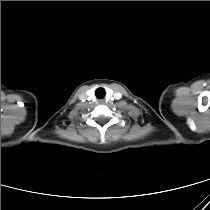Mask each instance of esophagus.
Wrapping results in <instances>:
<instances>
[{
    "label": "esophagus",
    "instance_id": "obj_1",
    "mask_svg": "<svg viewBox=\"0 0 210 210\" xmlns=\"http://www.w3.org/2000/svg\"><path fill=\"white\" fill-rule=\"evenodd\" d=\"M99 102H100V103H104V101H103V100H100Z\"/></svg>",
    "mask_w": 210,
    "mask_h": 210
}]
</instances>
